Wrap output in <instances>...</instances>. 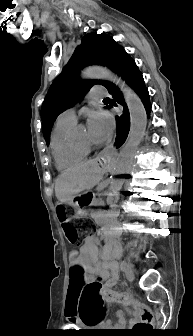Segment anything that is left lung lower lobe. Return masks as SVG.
<instances>
[{"label":"left lung lower lobe","instance_id":"1","mask_svg":"<svg viewBox=\"0 0 193 336\" xmlns=\"http://www.w3.org/2000/svg\"><path fill=\"white\" fill-rule=\"evenodd\" d=\"M115 72L124 79L131 88H133L140 97L147 114H149L151 111L149 92L145 87L143 76L135 61L126 53L125 50H122L118 55ZM107 90L110 94H112V97L114 98L113 101L118 102L123 106V114L121 116H116L117 136L115 146L118 148L123 145L128 136L130 128V115L127 104L124 101L119 88L115 84L110 83ZM109 108H111V106H109ZM122 177H126V175H123Z\"/></svg>","mask_w":193,"mask_h":336}]
</instances>
